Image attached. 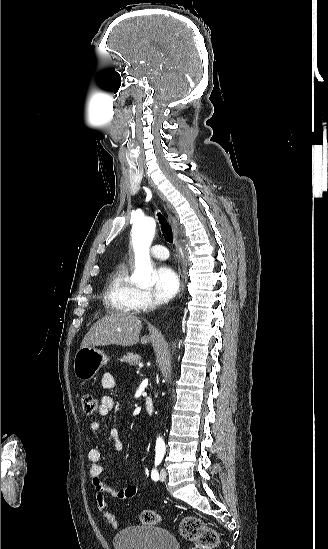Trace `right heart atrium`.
Listing matches in <instances>:
<instances>
[{
    "instance_id": "d8ad5b80",
    "label": "right heart atrium",
    "mask_w": 328,
    "mask_h": 549,
    "mask_svg": "<svg viewBox=\"0 0 328 549\" xmlns=\"http://www.w3.org/2000/svg\"><path fill=\"white\" fill-rule=\"evenodd\" d=\"M143 298L145 303H161V300L149 289L143 291Z\"/></svg>"
}]
</instances>
